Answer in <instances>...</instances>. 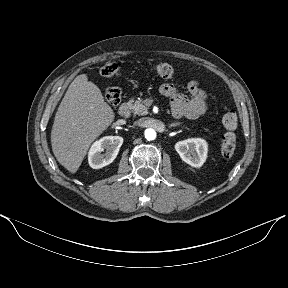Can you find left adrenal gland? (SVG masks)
<instances>
[{
    "label": "left adrenal gland",
    "mask_w": 288,
    "mask_h": 288,
    "mask_svg": "<svg viewBox=\"0 0 288 288\" xmlns=\"http://www.w3.org/2000/svg\"><path fill=\"white\" fill-rule=\"evenodd\" d=\"M177 125H180V122L172 123V124L169 125V127H175Z\"/></svg>",
    "instance_id": "1"
}]
</instances>
